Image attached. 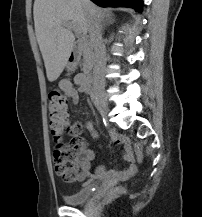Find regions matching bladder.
Here are the masks:
<instances>
[{
  "instance_id": "obj_1",
  "label": "bladder",
  "mask_w": 202,
  "mask_h": 217,
  "mask_svg": "<svg viewBox=\"0 0 202 217\" xmlns=\"http://www.w3.org/2000/svg\"><path fill=\"white\" fill-rule=\"evenodd\" d=\"M94 178L85 181L77 191L64 196V201L69 205L85 203L93 195Z\"/></svg>"
}]
</instances>
